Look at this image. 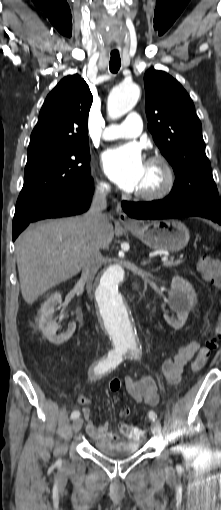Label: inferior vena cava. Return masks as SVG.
Masks as SVG:
<instances>
[{
  "mask_svg": "<svg viewBox=\"0 0 221 510\" xmlns=\"http://www.w3.org/2000/svg\"><path fill=\"white\" fill-rule=\"evenodd\" d=\"M109 191L108 185H100L93 195L90 209L84 215L87 236L82 250V277L87 283L88 292L102 263L99 236L108 226V219L103 210L107 206L106 196Z\"/></svg>",
  "mask_w": 221,
  "mask_h": 510,
  "instance_id": "obj_1",
  "label": "inferior vena cava"
}]
</instances>
